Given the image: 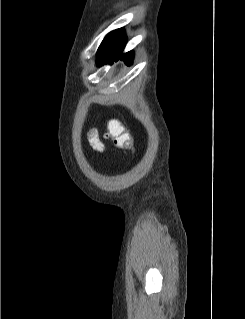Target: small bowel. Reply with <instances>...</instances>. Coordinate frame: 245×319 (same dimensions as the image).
Here are the masks:
<instances>
[{"mask_svg":"<svg viewBox=\"0 0 245 319\" xmlns=\"http://www.w3.org/2000/svg\"><path fill=\"white\" fill-rule=\"evenodd\" d=\"M88 139L91 146L98 151H103L104 146L103 143L100 141L98 133L96 131H90L88 134Z\"/></svg>","mask_w":245,"mask_h":319,"instance_id":"c3829d8e","label":"small bowel"}]
</instances>
